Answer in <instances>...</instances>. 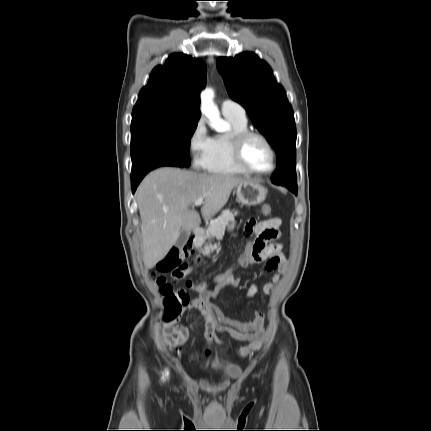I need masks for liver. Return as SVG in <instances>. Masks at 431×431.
<instances>
[{
	"mask_svg": "<svg viewBox=\"0 0 431 431\" xmlns=\"http://www.w3.org/2000/svg\"><path fill=\"white\" fill-rule=\"evenodd\" d=\"M244 181L233 175L170 167L149 173L136 191L145 267L151 269L161 261L182 230L190 232L200 225L198 213L190 209L198 198H204L201 214L209 220L225 206L233 188Z\"/></svg>",
	"mask_w": 431,
	"mask_h": 431,
	"instance_id": "1",
	"label": "liver"
}]
</instances>
